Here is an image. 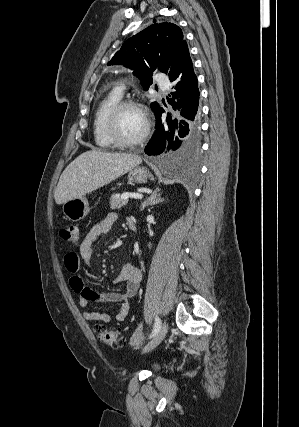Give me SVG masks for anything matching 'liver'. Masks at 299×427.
<instances>
[{"label": "liver", "instance_id": "6515ba94", "mask_svg": "<svg viewBox=\"0 0 299 427\" xmlns=\"http://www.w3.org/2000/svg\"><path fill=\"white\" fill-rule=\"evenodd\" d=\"M138 155L90 150L80 154L60 176L55 190L56 204L84 196L141 164Z\"/></svg>", "mask_w": 299, "mask_h": 427}]
</instances>
